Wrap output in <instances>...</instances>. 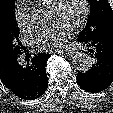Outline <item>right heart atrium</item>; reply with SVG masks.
I'll use <instances>...</instances> for the list:
<instances>
[{
	"mask_svg": "<svg viewBox=\"0 0 113 113\" xmlns=\"http://www.w3.org/2000/svg\"><path fill=\"white\" fill-rule=\"evenodd\" d=\"M13 16L21 32L28 33L34 27L30 8L24 0H17L13 7Z\"/></svg>",
	"mask_w": 113,
	"mask_h": 113,
	"instance_id": "obj_1",
	"label": "right heart atrium"
}]
</instances>
